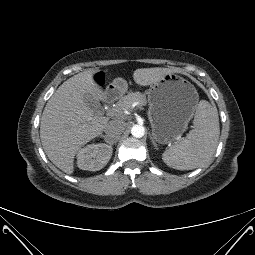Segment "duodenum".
<instances>
[{"label": "duodenum", "instance_id": "410a0bca", "mask_svg": "<svg viewBox=\"0 0 255 255\" xmlns=\"http://www.w3.org/2000/svg\"><path fill=\"white\" fill-rule=\"evenodd\" d=\"M117 92L118 89L115 87L108 88L103 94V99L109 101L116 96Z\"/></svg>", "mask_w": 255, "mask_h": 255}]
</instances>
